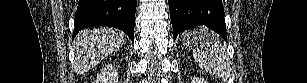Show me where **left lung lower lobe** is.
<instances>
[{"label": "left lung lower lobe", "instance_id": "obj_1", "mask_svg": "<svg viewBox=\"0 0 307 83\" xmlns=\"http://www.w3.org/2000/svg\"><path fill=\"white\" fill-rule=\"evenodd\" d=\"M174 40L182 31L203 26L227 39L221 0H168Z\"/></svg>", "mask_w": 307, "mask_h": 83}]
</instances>
